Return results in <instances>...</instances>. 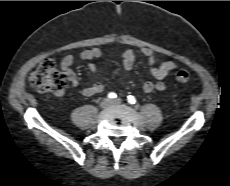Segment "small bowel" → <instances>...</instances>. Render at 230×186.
<instances>
[{"instance_id": "1", "label": "small bowel", "mask_w": 230, "mask_h": 186, "mask_svg": "<svg viewBox=\"0 0 230 186\" xmlns=\"http://www.w3.org/2000/svg\"><path fill=\"white\" fill-rule=\"evenodd\" d=\"M140 54L146 59V62L150 68V73L156 79V81H146L142 85L144 93H151L153 91H163L166 89L164 79L170 72L177 68V64L174 61L168 60L159 62V58L154 52L144 47L140 50ZM103 56V52L99 48H89L81 52L79 58L83 61L88 62V69L94 76L95 81L81 89V95L84 97H90L93 95L100 94L104 90L102 83L98 81L99 74L96 65L93 63L94 60L99 59ZM139 53L135 49H127L121 55V63L125 74L129 73L133 68ZM76 58L73 55H66L61 61V68L67 76L70 84L73 87H78L79 79L75 71L73 70V64ZM62 93L57 94L61 96Z\"/></svg>"}]
</instances>
